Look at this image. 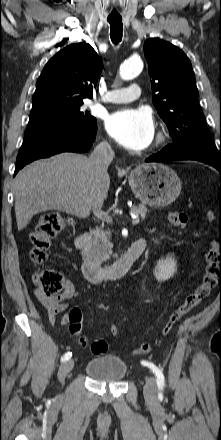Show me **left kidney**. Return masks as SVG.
<instances>
[{"instance_id":"obj_1","label":"left kidney","mask_w":221,"mask_h":440,"mask_svg":"<svg viewBox=\"0 0 221 440\" xmlns=\"http://www.w3.org/2000/svg\"><path fill=\"white\" fill-rule=\"evenodd\" d=\"M176 271V261L172 257L167 256L166 259L162 258L157 261V265L154 270V276L157 281H166L173 277Z\"/></svg>"}]
</instances>
